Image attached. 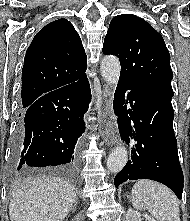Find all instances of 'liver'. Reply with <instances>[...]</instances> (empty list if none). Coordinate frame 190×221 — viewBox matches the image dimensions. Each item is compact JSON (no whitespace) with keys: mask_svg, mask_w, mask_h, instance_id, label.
I'll use <instances>...</instances> for the list:
<instances>
[{"mask_svg":"<svg viewBox=\"0 0 190 221\" xmlns=\"http://www.w3.org/2000/svg\"><path fill=\"white\" fill-rule=\"evenodd\" d=\"M76 200V190L58 177L28 178L14 189L11 221H62Z\"/></svg>","mask_w":190,"mask_h":221,"instance_id":"liver-1","label":"liver"}]
</instances>
